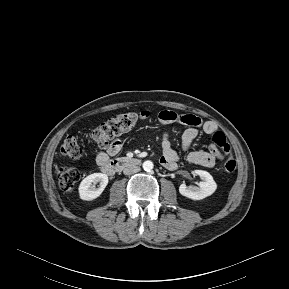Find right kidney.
<instances>
[{"instance_id": "obj_1", "label": "right kidney", "mask_w": 289, "mask_h": 289, "mask_svg": "<svg viewBox=\"0 0 289 289\" xmlns=\"http://www.w3.org/2000/svg\"><path fill=\"white\" fill-rule=\"evenodd\" d=\"M99 183V187L95 185ZM108 184V176L103 173H93L85 177L79 185V196L82 200L91 201L99 197Z\"/></svg>"}]
</instances>
